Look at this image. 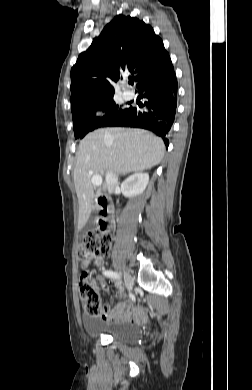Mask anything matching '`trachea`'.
Listing matches in <instances>:
<instances>
[{"mask_svg":"<svg viewBox=\"0 0 252 390\" xmlns=\"http://www.w3.org/2000/svg\"><path fill=\"white\" fill-rule=\"evenodd\" d=\"M129 83H130L131 85H133V84H134L133 80H130V81H129Z\"/></svg>","mask_w":252,"mask_h":390,"instance_id":"3493384b","label":"trachea"}]
</instances>
